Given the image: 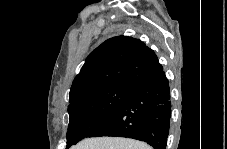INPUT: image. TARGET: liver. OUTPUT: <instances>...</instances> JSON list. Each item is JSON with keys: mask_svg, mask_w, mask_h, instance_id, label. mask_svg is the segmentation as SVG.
<instances>
[{"mask_svg": "<svg viewBox=\"0 0 227 149\" xmlns=\"http://www.w3.org/2000/svg\"><path fill=\"white\" fill-rule=\"evenodd\" d=\"M75 149H151L141 141L119 137H97L83 140Z\"/></svg>", "mask_w": 227, "mask_h": 149, "instance_id": "obj_1", "label": "liver"}]
</instances>
